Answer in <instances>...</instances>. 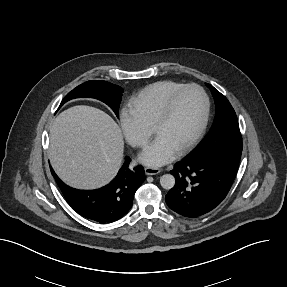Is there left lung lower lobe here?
<instances>
[{"label":"left lung lower lobe","mask_w":287,"mask_h":287,"mask_svg":"<svg viewBox=\"0 0 287 287\" xmlns=\"http://www.w3.org/2000/svg\"><path fill=\"white\" fill-rule=\"evenodd\" d=\"M241 153L220 156H186L174 165L176 182L165 196L170 209L195 218L218 206L235 179Z\"/></svg>","instance_id":"0a47b994"}]
</instances>
